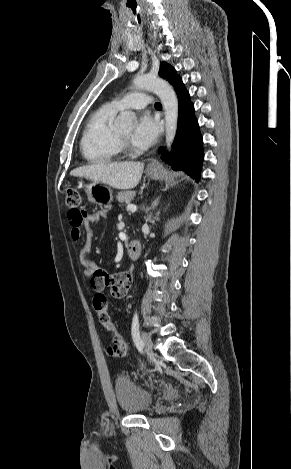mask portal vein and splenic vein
<instances>
[{
  "label": "portal vein and splenic vein",
  "instance_id": "portal-vein-and-splenic-vein-1",
  "mask_svg": "<svg viewBox=\"0 0 291 469\" xmlns=\"http://www.w3.org/2000/svg\"><path fill=\"white\" fill-rule=\"evenodd\" d=\"M127 210H129L131 212H135L137 210V206H135L133 204H128L127 205Z\"/></svg>",
  "mask_w": 291,
  "mask_h": 469
}]
</instances>
